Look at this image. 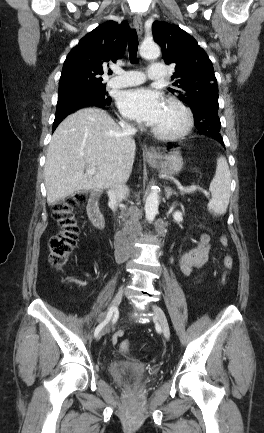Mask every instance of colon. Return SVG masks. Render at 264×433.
<instances>
[{
    "mask_svg": "<svg viewBox=\"0 0 264 433\" xmlns=\"http://www.w3.org/2000/svg\"><path fill=\"white\" fill-rule=\"evenodd\" d=\"M85 200V194L78 192L57 202L54 206L53 214L59 224L60 230L50 238L49 262L56 270H60L66 264L76 245L80 229L74 209ZM220 244L225 249L228 247L229 242L225 235L220 237ZM223 267L224 273L221 282L225 284L233 267V258L230 254L224 255ZM120 351L129 355L131 343L128 340L122 341Z\"/></svg>",
    "mask_w": 264,
    "mask_h": 433,
    "instance_id": "1",
    "label": "colon"
}]
</instances>
